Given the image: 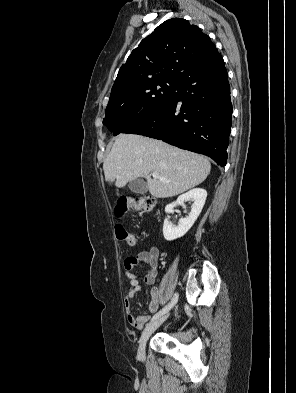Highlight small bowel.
<instances>
[{"label": "small bowel", "mask_w": 296, "mask_h": 393, "mask_svg": "<svg viewBox=\"0 0 296 393\" xmlns=\"http://www.w3.org/2000/svg\"><path fill=\"white\" fill-rule=\"evenodd\" d=\"M159 249L155 246L148 250H143L135 256H129L124 260V273L130 281V287L125 294L124 305L127 312V321L134 329H142L149 321L148 315H134L131 312V300L135 294L141 290V283L137 267L147 266L143 281L147 285L155 283L158 272ZM161 291L158 287H153L150 290L151 299L147 305L150 313H155L159 308Z\"/></svg>", "instance_id": "1"}]
</instances>
